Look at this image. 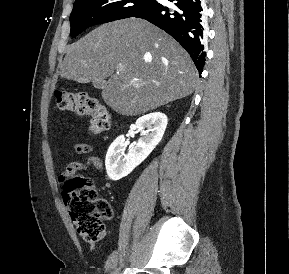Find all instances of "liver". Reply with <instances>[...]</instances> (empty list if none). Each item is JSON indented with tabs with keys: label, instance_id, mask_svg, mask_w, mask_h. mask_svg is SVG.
Returning a JSON list of instances; mask_svg holds the SVG:
<instances>
[{
	"label": "liver",
	"instance_id": "liver-1",
	"mask_svg": "<svg viewBox=\"0 0 289 274\" xmlns=\"http://www.w3.org/2000/svg\"><path fill=\"white\" fill-rule=\"evenodd\" d=\"M60 76L102 82L104 102L125 116L189 96L198 82L197 69L179 43L137 18L103 24L71 44Z\"/></svg>",
	"mask_w": 289,
	"mask_h": 274
}]
</instances>
